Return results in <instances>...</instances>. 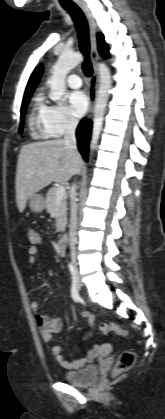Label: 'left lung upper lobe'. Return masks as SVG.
Instances as JSON below:
<instances>
[{"label": "left lung upper lobe", "mask_w": 165, "mask_h": 419, "mask_svg": "<svg viewBox=\"0 0 165 419\" xmlns=\"http://www.w3.org/2000/svg\"><path fill=\"white\" fill-rule=\"evenodd\" d=\"M98 49L100 54L104 57V58H109V53H108V46L104 41V37L102 34L98 35Z\"/></svg>", "instance_id": "5c2ea615"}]
</instances>
